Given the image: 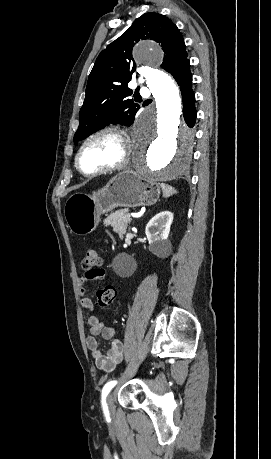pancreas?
<instances>
[{"label": "pancreas", "instance_id": "pancreas-1", "mask_svg": "<svg viewBox=\"0 0 271 459\" xmlns=\"http://www.w3.org/2000/svg\"><path fill=\"white\" fill-rule=\"evenodd\" d=\"M127 212L128 210H117L114 214H110L109 220L105 222L107 227L113 226L114 231L119 233V237H123V233H126L127 224L131 222V217H126Z\"/></svg>", "mask_w": 271, "mask_h": 459}]
</instances>
